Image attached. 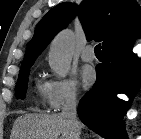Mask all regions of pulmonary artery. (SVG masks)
Returning <instances> with one entry per match:
<instances>
[{"mask_svg":"<svg viewBox=\"0 0 141 139\" xmlns=\"http://www.w3.org/2000/svg\"><path fill=\"white\" fill-rule=\"evenodd\" d=\"M81 58L86 62L94 61L95 55H94L93 48L91 46H86L81 53Z\"/></svg>","mask_w":141,"mask_h":139,"instance_id":"obj_1","label":"pulmonary artery"}]
</instances>
